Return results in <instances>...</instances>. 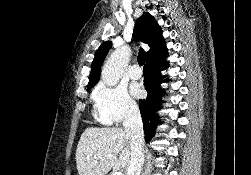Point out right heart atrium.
Masks as SVG:
<instances>
[{
  "label": "right heart atrium",
  "instance_id": "obj_1",
  "mask_svg": "<svg viewBox=\"0 0 251 175\" xmlns=\"http://www.w3.org/2000/svg\"><path fill=\"white\" fill-rule=\"evenodd\" d=\"M92 101L96 118L104 124H118L138 113L136 102L122 85L99 82Z\"/></svg>",
  "mask_w": 251,
  "mask_h": 175
}]
</instances>
